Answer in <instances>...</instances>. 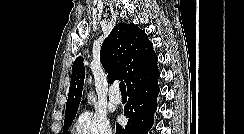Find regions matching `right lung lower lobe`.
<instances>
[{
    "label": "right lung lower lobe",
    "instance_id": "right-lung-lower-lobe-1",
    "mask_svg": "<svg viewBox=\"0 0 244 134\" xmlns=\"http://www.w3.org/2000/svg\"><path fill=\"white\" fill-rule=\"evenodd\" d=\"M160 73L128 89V103L124 115L128 118L125 127L116 126V134H147L153 125V115L157 108Z\"/></svg>",
    "mask_w": 244,
    "mask_h": 134
}]
</instances>
